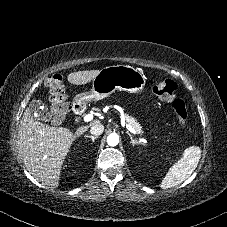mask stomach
<instances>
[{
  "label": "stomach",
  "mask_w": 227,
  "mask_h": 227,
  "mask_svg": "<svg viewBox=\"0 0 227 227\" xmlns=\"http://www.w3.org/2000/svg\"><path fill=\"white\" fill-rule=\"evenodd\" d=\"M147 78L135 67L129 65H113L102 68L92 82V89L82 92L74 98L76 104L85 105L93 100H100L116 90L130 93L141 92Z\"/></svg>",
  "instance_id": "stomach-1"
}]
</instances>
